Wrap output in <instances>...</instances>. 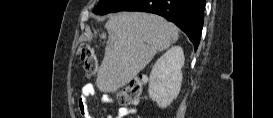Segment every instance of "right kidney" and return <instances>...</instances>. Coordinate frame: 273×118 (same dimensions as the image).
Listing matches in <instances>:
<instances>
[{
	"mask_svg": "<svg viewBox=\"0 0 273 118\" xmlns=\"http://www.w3.org/2000/svg\"><path fill=\"white\" fill-rule=\"evenodd\" d=\"M183 66L184 53L180 46H173L155 62L150 74L148 93L160 107L168 106L178 96Z\"/></svg>",
	"mask_w": 273,
	"mask_h": 118,
	"instance_id": "ca27d5eb",
	"label": "right kidney"
}]
</instances>
